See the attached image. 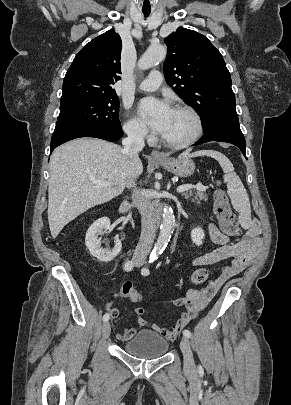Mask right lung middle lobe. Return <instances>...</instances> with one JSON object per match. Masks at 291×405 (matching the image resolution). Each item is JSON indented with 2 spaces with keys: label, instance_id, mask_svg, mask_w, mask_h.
Listing matches in <instances>:
<instances>
[{
  "label": "right lung middle lobe",
  "instance_id": "obj_1",
  "mask_svg": "<svg viewBox=\"0 0 291 405\" xmlns=\"http://www.w3.org/2000/svg\"><path fill=\"white\" fill-rule=\"evenodd\" d=\"M117 96L78 98L61 101L60 114L52 135L51 144L66 137L84 132H118Z\"/></svg>",
  "mask_w": 291,
  "mask_h": 405
}]
</instances>
